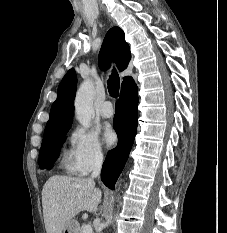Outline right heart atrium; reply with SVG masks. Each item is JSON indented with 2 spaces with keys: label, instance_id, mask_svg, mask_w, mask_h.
Wrapping results in <instances>:
<instances>
[{
  "label": "right heart atrium",
  "instance_id": "right-heart-atrium-1",
  "mask_svg": "<svg viewBox=\"0 0 227 233\" xmlns=\"http://www.w3.org/2000/svg\"><path fill=\"white\" fill-rule=\"evenodd\" d=\"M68 144L65 165L70 173L87 175L103 164L105 152L94 132L76 127L69 134Z\"/></svg>",
  "mask_w": 227,
  "mask_h": 233
}]
</instances>
